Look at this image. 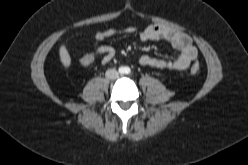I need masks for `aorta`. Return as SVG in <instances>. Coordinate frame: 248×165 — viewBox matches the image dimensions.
I'll return each instance as SVG.
<instances>
[{
    "label": "aorta",
    "instance_id": "1",
    "mask_svg": "<svg viewBox=\"0 0 248 165\" xmlns=\"http://www.w3.org/2000/svg\"><path fill=\"white\" fill-rule=\"evenodd\" d=\"M122 73H129L130 72V68L129 67H123L121 68Z\"/></svg>",
    "mask_w": 248,
    "mask_h": 165
}]
</instances>
